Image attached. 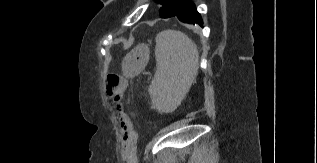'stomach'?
Masks as SVG:
<instances>
[{"label":"stomach","instance_id":"obj_1","mask_svg":"<svg viewBox=\"0 0 317 163\" xmlns=\"http://www.w3.org/2000/svg\"><path fill=\"white\" fill-rule=\"evenodd\" d=\"M149 48L147 45L139 44L132 49L122 61V70L127 76L140 73L149 61Z\"/></svg>","mask_w":317,"mask_h":163}]
</instances>
